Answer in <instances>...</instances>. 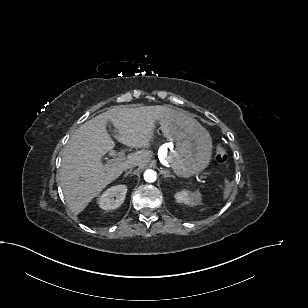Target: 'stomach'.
Returning a JSON list of instances; mask_svg holds the SVG:
<instances>
[{"label": "stomach", "instance_id": "1", "mask_svg": "<svg viewBox=\"0 0 308 308\" xmlns=\"http://www.w3.org/2000/svg\"><path fill=\"white\" fill-rule=\"evenodd\" d=\"M161 130L176 148L167 157L174 172L189 178L210 163L212 140L208 131L188 113L172 110L161 118Z\"/></svg>", "mask_w": 308, "mask_h": 308}]
</instances>
